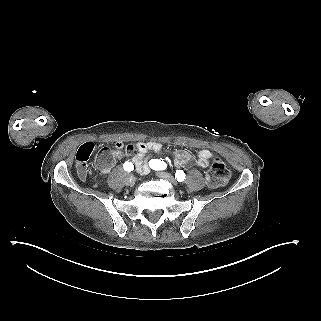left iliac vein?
Segmentation results:
<instances>
[{"mask_svg":"<svg viewBox=\"0 0 321 321\" xmlns=\"http://www.w3.org/2000/svg\"><path fill=\"white\" fill-rule=\"evenodd\" d=\"M157 176L159 178H162L164 180H167L169 181L171 184L173 185H177V181L176 179L174 178V176H172L171 174L167 173V172H158L157 173Z\"/></svg>","mask_w":321,"mask_h":321,"instance_id":"1","label":"left iliac vein"}]
</instances>
